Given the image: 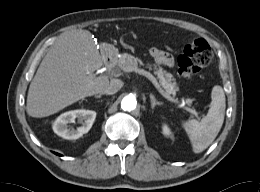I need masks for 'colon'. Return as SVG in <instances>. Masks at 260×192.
I'll return each mask as SVG.
<instances>
[{
	"label": "colon",
	"mask_w": 260,
	"mask_h": 192,
	"mask_svg": "<svg viewBox=\"0 0 260 192\" xmlns=\"http://www.w3.org/2000/svg\"><path fill=\"white\" fill-rule=\"evenodd\" d=\"M212 59V51L204 39L190 41L178 57L179 74L191 79L202 67L209 64Z\"/></svg>",
	"instance_id": "colon-1"
}]
</instances>
